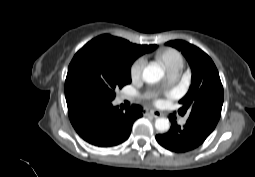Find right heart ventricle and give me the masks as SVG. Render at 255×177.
<instances>
[{
  "mask_svg": "<svg viewBox=\"0 0 255 177\" xmlns=\"http://www.w3.org/2000/svg\"><path fill=\"white\" fill-rule=\"evenodd\" d=\"M155 57L162 64L169 75H178L184 66V58L182 53L172 47L159 49L156 52Z\"/></svg>",
  "mask_w": 255,
  "mask_h": 177,
  "instance_id": "obj_1",
  "label": "right heart ventricle"
}]
</instances>
